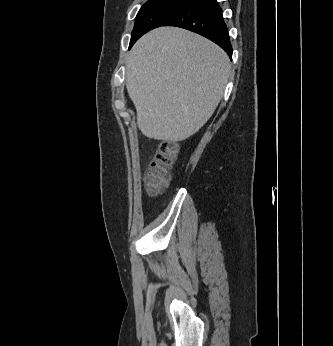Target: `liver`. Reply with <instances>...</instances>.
I'll return each mask as SVG.
<instances>
[{"label":"liver","mask_w":333,"mask_h":346,"mask_svg":"<svg viewBox=\"0 0 333 346\" xmlns=\"http://www.w3.org/2000/svg\"><path fill=\"white\" fill-rule=\"evenodd\" d=\"M231 71L228 55L185 29L160 27L141 37L126 61V88L147 137L183 141L217 108Z\"/></svg>","instance_id":"1"}]
</instances>
